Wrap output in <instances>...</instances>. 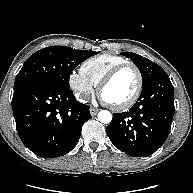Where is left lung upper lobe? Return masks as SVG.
<instances>
[{
	"mask_svg": "<svg viewBox=\"0 0 193 193\" xmlns=\"http://www.w3.org/2000/svg\"><path fill=\"white\" fill-rule=\"evenodd\" d=\"M121 54L127 58H130L133 63L139 68L143 81L142 89L148 86L157 77L166 74V72L158 64L143 56L130 52H123Z\"/></svg>",
	"mask_w": 193,
	"mask_h": 193,
	"instance_id": "1",
	"label": "left lung upper lobe"
}]
</instances>
